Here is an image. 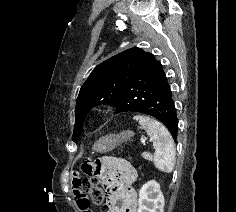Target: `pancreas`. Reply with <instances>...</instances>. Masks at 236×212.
<instances>
[{"instance_id": "pancreas-1", "label": "pancreas", "mask_w": 236, "mask_h": 212, "mask_svg": "<svg viewBox=\"0 0 236 212\" xmlns=\"http://www.w3.org/2000/svg\"><path fill=\"white\" fill-rule=\"evenodd\" d=\"M145 159H147V160H150V161H151V160H152V156H151V155H146V156H145Z\"/></svg>"}]
</instances>
